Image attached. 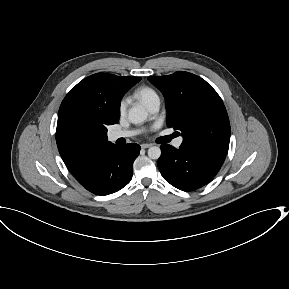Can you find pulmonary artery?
<instances>
[{
  "mask_svg": "<svg viewBox=\"0 0 289 289\" xmlns=\"http://www.w3.org/2000/svg\"><path fill=\"white\" fill-rule=\"evenodd\" d=\"M148 110L150 111L151 114L156 115L159 111L160 108V102L159 99L156 98L154 99L148 106H147ZM136 134V131H132V130H119V131H114L111 132L109 135V139L111 141H115L117 139L120 138H128L131 137L133 135ZM183 142V138L182 137H178L175 141H174V145L176 147H180L181 144Z\"/></svg>",
  "mask_w": 289,
  "mask_h": 289,
  "instance_id": "e3ab8cb5",
  "label": "pulmonary artery"
}]
</instances>
